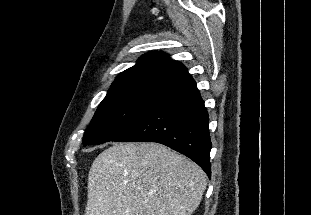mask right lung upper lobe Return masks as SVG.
I'll use <instances>...</instances> for the list:
<instances>
[{"instance_id":"obj_1","label":"right lung upper lobe","mask_w":311,"mask_h":215,"mask_svg":"<svg viewBox=\"0 0 311 215\" xmlns=\"http://www.w3.org/2000/svg\"><path fill=\"white\" fill-rule=\"evenodd\" d=\"M188 74L187 68L164 52L144 54L137 63L120 73L111 88L127 85L167 84L171 85Z\"/></svg>"}]
</instances>
